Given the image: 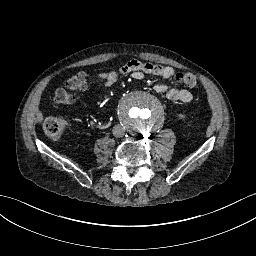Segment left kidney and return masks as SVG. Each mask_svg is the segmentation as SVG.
Wrapping results in <instances>:
<instances>
[{
  "label": "left kidney",
  "mask_w": 256,
  "mask_h": 256,
  "mask_svg": "<svg viewBox=\"0 0 256 256\" xmlns=\"http://www.w3.org/2000/svg\"><path fill=\"white\" fill-rule=\"evenodd\" d=\"M179 118L181 121L187 122V117L185 115H181Z\"/></svg>",
  "instance_id": "obj_1"
}]
</instances>
